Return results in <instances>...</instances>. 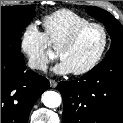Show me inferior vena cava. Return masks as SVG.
I'll list each match as a JSON object with an SVG mask.
<instances>
[{"mask_svg": "<svg viewBox=\"0 0 123 123\" xmlns=\"http://www.w3.org/2000/svg\"><path fill=\"white\" fill-rule=\"evenodd\" d=\"M28 66L31 69L46 70V62L43 59H29Z\"/></svg>", "mask_w": 123, "mask_h": 123, "instance_id": "obj_1", "label": "inferior vena cava"}]
</instances>
